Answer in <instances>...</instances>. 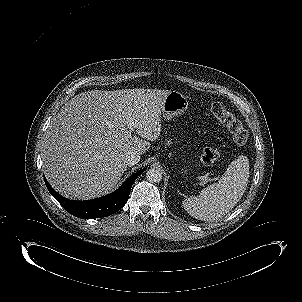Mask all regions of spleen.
<instances>
[{
	"label": "spleen",
	"instance_id": "1",
	"mask_svg": "<svg viewBox=\"0 0 302 302\" xmlns=\"http://www.w3.org/2000/svg\"><path fill=\"white\" fill-rule=\"evenodd\" d=\"M249 178V162L245 156L231 162L221 179L186 198L182 204L192 217L211 222L229 212L243 196Z\"/></svg>",
	"mask_w": 302,
	"mask_h": 302
}]
</instances>
